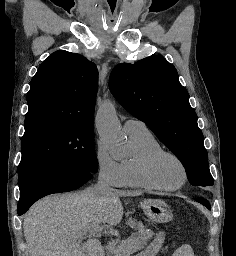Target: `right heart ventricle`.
<instances>
[{
	"label": "right heart ventricle",
	"mask_w": 236,
	"mask_h": 256,
	"mask_svg": "<svg viewBox=\"0 0 236 256\" xmlns=\"http://www.w3.org/2000/svg\"><path fill=\"white\" fill-rule=\"evenodd\" d=\"M130 138L134 146V155L121 162L125 175V186L149 189L151 187L144 182L141 175V161L146 155L161 150V146L150 132L132 135Z\"/></svg>",
	"instance_id": "obj_1"
}]
</instances>
